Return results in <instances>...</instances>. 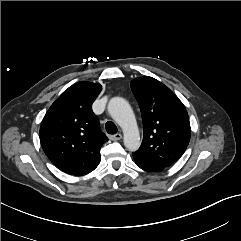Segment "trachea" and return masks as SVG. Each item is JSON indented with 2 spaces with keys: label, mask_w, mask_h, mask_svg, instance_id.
I'll return each mask as SVG.
<instances>
[{
  "label": "trachea",
  "mask_w": 241,
  "mask_h": 241,
  "mask_svg": "<svg viewBox=\"0 0 241 241\" xmlns=\"http://www.w3.org/2000/svg\"><path fill=\"white\" fill-rule=\"evenodd\" d=\"M105 128L108 134L114 135L117 133V127L112 121H108Z\"/></svg>",
  "instance_id": "1"
}]
</instances>
